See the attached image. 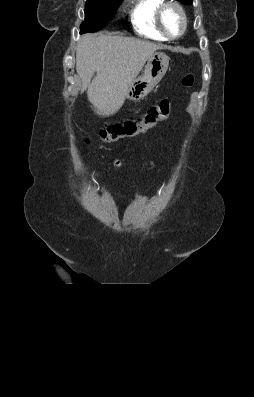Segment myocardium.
Listing matches in <instances>:
<instances>
[{"instance_id":"f54148a6","label":"myocardium","mask_w":254,"mask_h":397,"mask_svg":"<svg viewBox=\"0 0 254 397\" xmlns=\"http://www.w3.org/2000/svg\"><path fill=\"white\" fill-rule=\"evenodd\" d=\"M168 8H173L175 9L179 15L180 18L182 20V28L181 31L178 35H171L165 28L164 23H163V15L164 12L168 9ZM156 23L157 26L159 28V30L161 31V33L170 40H175L178 39L180 37H182L187 29V24H188V20H187V15L186 12L184 10V8L175 0H165L163 1L156 12Z\"/></svg>"}]
</instances>
